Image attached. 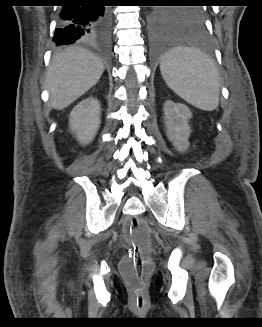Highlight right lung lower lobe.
I'll use <instances>...</instances> for the list:
<instances>
[{
	"instance_id": "obj_1",
	"label": "right lung lower lobe",
	"mask_w": 262,
	"mask_h": 327,
	"mask_svg": "<svg viewBox=\"0 0 262 327\" xmlns=\"http://www.w3.org/2000/svg\"><path fill=\"white\" fill-rule=\"evenodd\" d=\"M59 11L53 41L57 46L83 42L107 49L111 36V14L98 0H65Z\"/></svg>"
}]
</instances>
